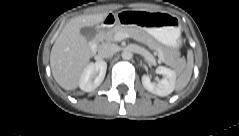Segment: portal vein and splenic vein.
Here are the masks:
<instances>
[{
    "instance_id": "1",
    "label": "portal vein and splenic vein",
    "mask_w": 239,
    "mask_h": 136,
    "mask_svg": "<svg viewBox=\"0 0 239 136\" xmlns=\"http://www.w3.org/2000/svg\"><path fill=\"white\" fill-rule=\"evenodd\" d=\"M129 37H130L129 34H125V33H121V32L117 33L115 36L117 41H121V40H123L125 38H129Z\"/></svg>"
}]
</instances>
